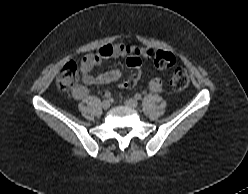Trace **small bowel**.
Instances as JSON below:
<instances>
[{"mask_svg":"<svg viewBox=\"0 0 248 194\" xmlns=\"http://www.w3.org/2000/svg\"><path fill=\"white\" fill-rule=\"evenodd\" d=\"M131 56L128 59V65L137 69L140 65L139 57H154L155 51L150 48H143L138 45L128 44H108L98 50L96 54L85 55L80 63L81 79L83 84L74 87L72 94L77 100L84 99L89 91V85H105L118 81L121 78V71L118 68H113L103 72L98 76L91 74L92 69L98 65L103 59L111 57ZM137 82L132 83L128 89L133 88ZM149 88L153 92L160 93L164 90L163 82L160 78H154L149 83Z\"/></svg>","mask_w":248,"mask_h":194,"instance_id":"small-bowel-1","label":"small bowel"}]
</instances>
